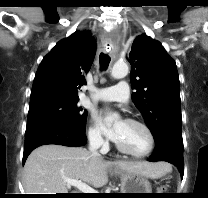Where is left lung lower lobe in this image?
<instances>
[{"label":"left lung lower lobe","mask_w":208,"mask_h":198,"mask_svg":"<svg viewBox=\"0 0 208 198\" xmlns=\"http://www.w3.org/2000/svg\"><path fill=\"white\" fill-rule=\"evenodd\" d=\"M149 161H166L175 165L183 178L184 175V160H183V145L177 142L164 139L156 143L154 153L148 159Z\"/></svg>","instance_id":"left-lung-lower-lobe-1"}]
</instances>
